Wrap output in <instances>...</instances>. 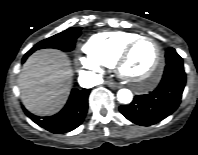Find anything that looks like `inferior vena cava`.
<instances>
[{
	"label": "inferior vena cava",
	"mask_w": 198,
	"mask_h": 155,
	"mask_svg": "<svg viewBox=\"0 0 198 155\" xmlns=\"http://www.w3.org/2000/svg\"><path fill=\"white\" fill-rule=\"evenodd\" d=\"M79 81L81 84L88 83L90 86H95L102 83V78L91 72H83L80 76Z\"/></svg>",
	"instance_id": "1"
}]
</instances>
